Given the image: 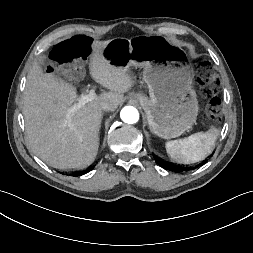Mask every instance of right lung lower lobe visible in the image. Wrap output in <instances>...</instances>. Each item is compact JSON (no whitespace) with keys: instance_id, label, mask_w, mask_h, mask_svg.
Returning <instances> with one entry per match:
<instances>
[{"instance_id":"98d812e1","label":"right lung lower lobe","mask_w":253,"mask_h":253,"mask_svg":"<svg viewBox=\"0 0 253 253\" xmlns=\"http://www.w3.org/2000/svg\"><path fill=\"white\" fill-rule=\"evenodd\" d=\"M83 174H84V173H79L78 175L75 174L74 176H80V175H83Z\"/></svg>"}]
</instances>
